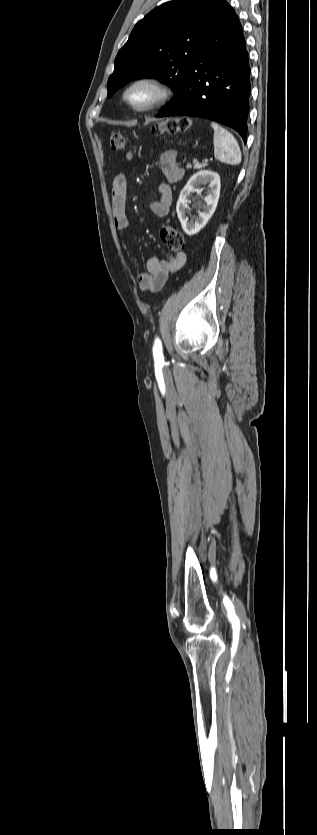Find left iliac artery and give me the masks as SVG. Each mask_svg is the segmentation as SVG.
Instances as JSON below:
<instances>
[{
  "instance_id": "obj_1",
  "label": "left iliac artery",
  "mask_w": 317,
  "mask_h": 835,
  "mask_svg": "<svg viewBox=\"0 0 317 835\" xmlns=\"http://www.w3.org/2000/svg\"><path fill=\"white\" fill-rule=\"evenodd\" d=\"M153 356L156 362H161L164 359L162 352V344L159 338L155 339L153 346Z\"/></svg>"
}]
</instances>
